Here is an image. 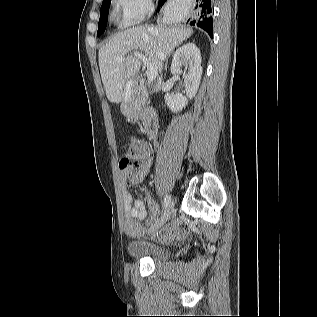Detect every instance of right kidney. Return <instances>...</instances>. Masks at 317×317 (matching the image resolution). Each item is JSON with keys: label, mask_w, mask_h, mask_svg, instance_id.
Returning <instances> with one entry per match:
<instances>
[{"label": "right kidney", "mask_w": 317, "mask_h": 317, "mask_svg": "<svg viewBox=\"0 0 317 317\" xmlns=\"http://www.w3.org/2000/svg\"><path fill=\"white\" fill-rule=\"evenodd\" d=\"M201 60L200 50L194 43L183 45L174 53L171 73L183 74L186 96L179 93L165 95V102L172 112L177 113L185 108L188 99H192L197 93L202 75Z\"/></svg>", "instance_id": "obj_1"}]
</instances>
